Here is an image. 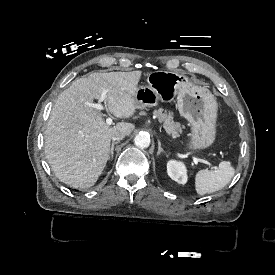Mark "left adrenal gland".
Wrapping results in <instances>:
<instances>
[{
    "mask_svg": "<svg viewBox=\"0 0 275 275\" xmlns=\"http://www.w3.org/2000/svg\"><path fill=\"white\" fill-rule=\"evenodd\" d=\"M161 153H164V150L161 148V142L158 141V152H157V155H161Z\"/></svg>",
    "mask_w": 275,
    "mask_h": 275,
    "instance_id": "1",
    "label": "left adrenal gland"
}]
</instances>
